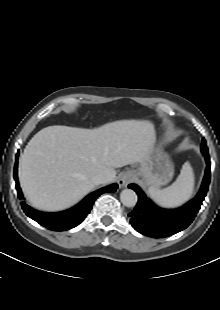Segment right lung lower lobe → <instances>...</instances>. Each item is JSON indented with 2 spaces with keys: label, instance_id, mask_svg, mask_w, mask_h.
<instances>
[{
  "label": "right lung lower lobe",
  "instance_id": "98d812e1",
  "mask_svg": "<svg viewBox=\"0 0 220 310\" xmlns=\"http://www.w3.org/2000/svg\"><path fill=\"white\" fill-rule=\"evenodd\" d=\"M17 168H18V155H16V162L14 167V179L16 182V189L18 192L19 199H24L17 176ZM118 188L117 184H112L107 187L101 188L91 194H89L85 199H83L79 204L74 206L73 208L57 213H45L41 211H37L27 205L24 201L21 202L22 209L26 213V215L40 225L48 228L53 231H65L79 225L84 218L90 213L92 205L98 196L103 193H112L115 192Z\"/></svg>",
  "mask_w": 220,
  "mask_h": 310
}]
</instances>
